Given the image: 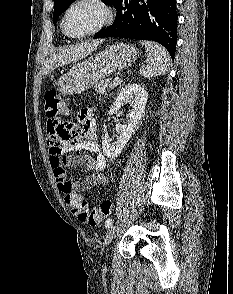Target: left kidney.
Segmentation results:
<instances>
[{
    "label": "left kidney",
    "instance_id": "1",
    "mask_svg": "<svg viewBox=\"0 0 233 294\" xmlns=\"http://www.w3.org/2000/svg\"><path fill=\"white\" fill-rule=\"evenodd\" d=\"M147 98L148 93L145 88L136 83H129L119 92L109 114H118L125 104L130 105L131 110L126 115V123L116 125V131L119 133L117 141H111L106 134L102 138L103 152L108 158L117 157L127 145L142 118Z\"/></svg>",
    "mask_w": 233,
    "mask_h": 294
}]
</instances>
